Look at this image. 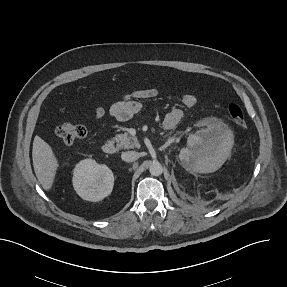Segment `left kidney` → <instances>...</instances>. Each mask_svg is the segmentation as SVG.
I'll use <instances>...</instances> for the list:
<instances>
[{
	"instance_id": "1",
	"label": "left kidney",
	"mask_w": 287,
	"mask_h": 287,
	"mask_svg": "<svg viewBox=\"0 0 287 287\" xmlns=\"http://www.w3.org/2000/svg\"><path fill=\"white\" fill-rule=\"evenodd\" d=\"M233 134L221 124H206V128L188 138V147L179 154L184 167L192 172L212 173L227 160L233 146Z\"/></svg>"
}]
</instances>
